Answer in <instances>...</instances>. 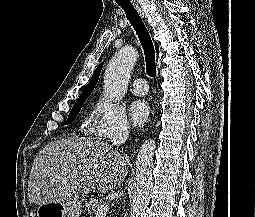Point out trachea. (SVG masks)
Listing matches in <instances>:
<instances>
[{"label": "trachea", "mask_w": 255, "mask_h": 217, "mask_svg": "<svg viewBox=\"0 0 255 217\" xmlns=\"http://www.w3.org/2000/svg\"><path fill=\"white\" fill-rule=\"evenodd\" d=\"M126 14L127 19L129 20L130 24L136 31V34L139 37L141 45L144 50L145 54V61H146V72L150 77L156 76V63H155V50L153 46L152 39L150 34L145 27L141 17L133 7V5L128 3H119L118 4Z\"/></svg>", "instance_id": "3493384b"}]
</instances>
